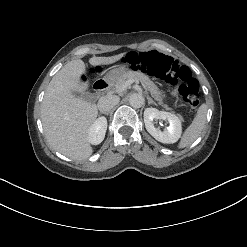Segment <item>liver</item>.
Instances as JSON below:
<instances>
[{
  "label": "liver",
  "instance_id": "1",
  "mask_svg": "<svg viewBox=\"0 0 247 247\" xmlns=\"http://www.w3.org/2000/svg\"><path fill=\"white\" fill-rule=\"evenodd\" d=\"M124 54L111 57H92V66L108 65L120 60ZM81 59L67 63L50 81L41 105L44 133L51 147L73 160H85L93 153L88 133L98 109L95 104L77 98L73 92L85 93L87 82L80 77L85 74Z\"/></svg>",
  "mask_w": 247,
  "mask_h": 247
}]
</instances>
